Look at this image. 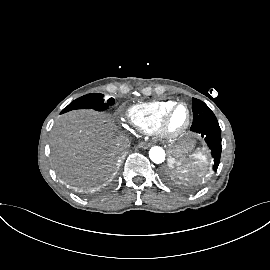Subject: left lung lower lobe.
<instances>
[{"label": "left lung lower lobe", "mask_w": 270, "mask_h": 270, "mask_svg": "<svg viewBox=\"0 0 270 270\" xmlns=\"http://www.w3.org/2000/svg\"><path fill=\"white\" fill-rule=\"evenodd\" d=\"M193 132L201 134L207 143L208 148L211 150L213 158V170L216 171L220 163L221 157V129L218 122L204 123L197 127L191 128ZM166 179L170 178L166 175Z\"/></svg>", "instance_id": "obj_1"}]
</instances>
